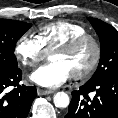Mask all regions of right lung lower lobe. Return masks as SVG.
Wrapping results in <instances>:
<instances>
[{"instance_id":"98d812e1","label":"right lung lower lobe","mask_w":118,"mask_h":118,"mask_svg":"<svg viewBox=\"0 0 118 118\" xmlns=\"http://www.w3.org/2000/svg\"><path fill=\"white\" fill-rule=\"evenodd\" d=\"M22 72L19 68L0 69V118H26L37 95L35 87L19 85ZM14 86L10 92H5Z\"/></svg>"}]
</instances>
